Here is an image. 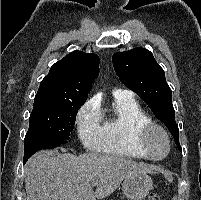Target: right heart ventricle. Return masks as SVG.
Instances as JSON below:
<instances>
[{
	"instance_id": "right-heart-ventricle-1",
	"label": "right heart ventricle",
	"mask_w": 201,
	"mask_h": 200,
	"mask_svg": "<svg viewBox=\"0 0 201 200\" xmlns=\"http://www.w3.org/2000/svg\"><path fill=\"white\" fill-rule=\"evenodd\" d=\"M100 115L101 152L132 159H146L136 142L137 128L150 120L138 102L128 94H114L107 114Z\"/></svg>"
}]
</instances>
